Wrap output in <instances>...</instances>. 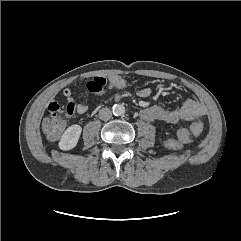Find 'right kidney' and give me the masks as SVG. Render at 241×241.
I'll return each instance as SVG.
<instances>
[{"label": "right kidney", "mask_w": 241, "mask_h": 241, "mask_svg": "<svg viewBox=\"0 0 241 241\" xmlns=\"http://www.w3.org/2000/svg\"><path fill=\"white\" fill-rule=\"evenodd\" d=\"M81 132L82 127L79 125L75 124L68 127L59 141V148L62 150L73 149L78 143Z\"/></svg>", "instance_id": "1"}]
</instances>
